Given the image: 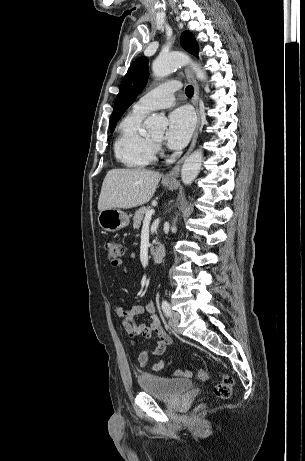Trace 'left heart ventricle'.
<instances>
[{
	"label": "left heart ventricle",
	"mask_w": 305,
	"mask_h": 461,
	"mask_svg": "<svg viewBox=\"0 0 305 461\" xmlns=\"http://www.w3.org/2000/svg\"><path fill=\"white\" fill-rule=\"evenodd\" d=\"M162 139V136H157V137H154L153 140L156 141V142H160Z\"/></svg>",
	"instance_id": "left-heart-ventricle-1"
}]
</instances>
